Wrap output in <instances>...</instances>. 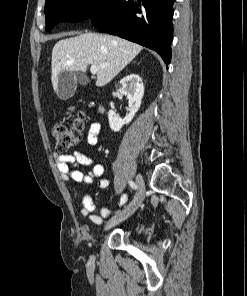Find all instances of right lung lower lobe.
<instances>
[{
	"mask_svg": "<svg viewBox=\"0 0 247 296\" xmlns=\"http://www.w3.org/2000/svg\"><path fill=\"white\" fill-rule=\"evenodd\" d=\"M175 0H110L104 12L91 16L100 31L155 50L166 64L171 60Z\"/></svg>",
	"mask_w": 247,
	"mask_h": 296,
	"instance_id": "right-lung-lower-lobe-1",
	"label": "right lung lower lobe"
}]
</instances>
